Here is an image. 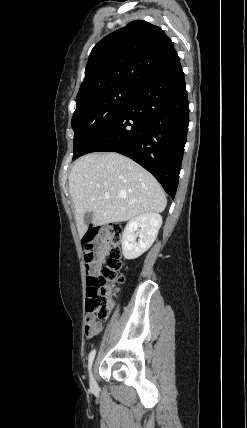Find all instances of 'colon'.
Instances as JSON below:
<instances>
[{"label": "colon", "instance_id": "5ec220e1", "mask_svg": "<svg viewBox=\"0 0 247 428\" xmlns=\"http://www.w3.org/2000/svg\"><path fill=\"white\" fill-rule=\"evenodd\" d=\"M103 238L100 243L95 242L94 234H83L82 242L89 243L85 248V262L87 271L90 273L87 279V300H86V335L93 334L97 324L105 321L111 311L113 296L117 290V284L123 280L121 271L123 263L121 261V234L122 228L119 225H107L102 229ZM103 243L104 250L109 251V258L106 265L99 273H91L96 263L94 259L96 246Z\"/></svg>", "mask_w": 247, "mask_h": 428}]
</instances>
